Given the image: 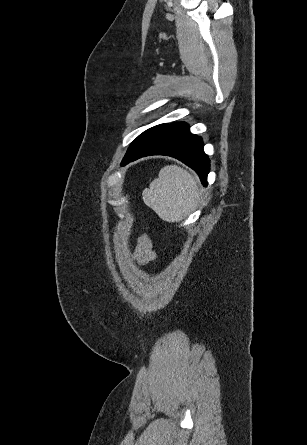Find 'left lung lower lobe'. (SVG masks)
Wrapping results in <instances>:
<instances>
[{
    "label": "left lung lower lobe",
    "mask_w": 307,
    "mask_h": 445,
    "mask_svg": "<svg viewBox=\"0 0 307 445\" xmlns=\"http://www.w3.org/2000/svg\"><path fill=\"white\" fill-rule=\"evenodd\" d=\"M149 155H168L194 169L207 186L210 162L203 152V142L189 132L184 122L172 123L145 141L122 166Z\"/></svg>",
    "instance_id": "left-lung-lower-lobe-1"
}]
</instances>
